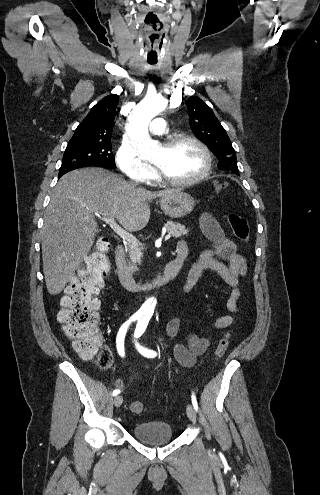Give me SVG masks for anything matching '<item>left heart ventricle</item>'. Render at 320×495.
<instances>
[{
    "instance_id": "obj_1",
    "label": "left heart ventricle",
    "mask_w": 320,
    "mask_h": 495,
    "mask_svg": "<svg viewBox=\"0 0 320 495\" xmlns=\"http://www.w3.org/2000/svg\"><path fill=\"white\" fill-rule=\"evenodd\" d=\"M152 162L173 179H189L204 168V157L199 148L189 142L172 148L161 147Z\"/></svg>"
}]
</instances>
